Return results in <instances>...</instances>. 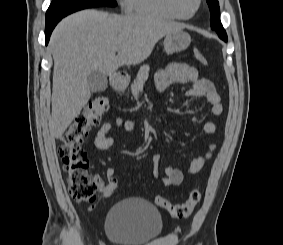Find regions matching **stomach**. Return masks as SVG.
I'll use <instances>...</instances> for the list:
<instances>
[{"mask_svg":"<svg viewBox=\"0 0 283 245\" xmlns=\"http://www.w3.org/2000/svg\"><path fill=\"white\" fill-rule=\"evenodd\" d=\"M191 42L188 33L183 30L175 31L166 35L164 39V49L167 54L181 52L187 49Z\"/></svg>","mask_w":283,"mask_h":245,"instance_id":"0dacf381","label":"stomach"}]
</instances>
